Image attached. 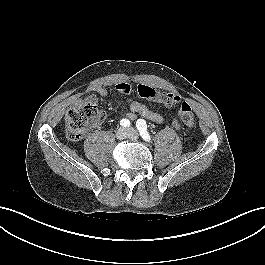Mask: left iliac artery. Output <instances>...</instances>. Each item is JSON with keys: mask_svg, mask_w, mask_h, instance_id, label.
<instances>
[{"mask_svg": "<svg viewBox=\"0 0 265 265\" xmlns=\"http://www.w3.org/2000/svg\"><path fill=\"white\" fill-rule=\"evenodd\" d=\"M136 127H137V129L139 130L140 135L142 136V138H143L145 141L149 142V141L151 140V138H150V135H149V133H148V131H147V124H146V121L143 120V119H139V120H137V122H136Z\"/></svg>", "mask_w": 265, "mask_h": 265, "instance_id": "1", "label": "left iliac artery"}]
</instances>
